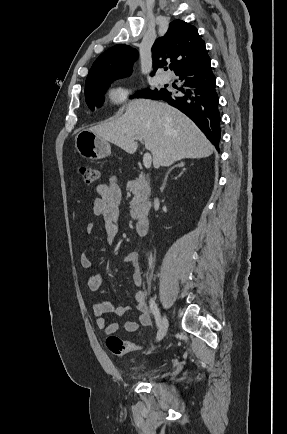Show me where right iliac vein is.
I'll return each instance as SVG.
<instances>
[{
	"mask_svg": "<svg viewBox=\"0 0 287 434\" xmlns=\"http://www.w3.org/2000/svg\"><path fill=\"white\" fill-rule=\"evenodd\" d=\"M168 330V319L166 317V315H163V319L157 334V341H161L164 336L166 335V332Z\"/></svg>",
	"mask_w": 287,
	"mask_h": 434,
	"instance_id": "1",
	"label": "right iliac vein"
}]
</instances>
